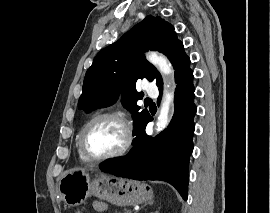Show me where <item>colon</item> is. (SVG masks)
Returning a JSON list of instances; mask_svg holds the SVG:
<instances>
[{
  "label": "colon",
  "instance_id": "5ec220e1",
  "mask_svg": "<svg viewBox=\"0 0 270 213\" xmlns=\"http://www.w3.org/2000/svg\"><path fill=\"white\" fill-rule=\"evenodd\" d=\"M75 213H82V212H80V211H76Z\"/></svg>",
  "mask_w": 270,
  "mask_h": 213
}]
</instances>
